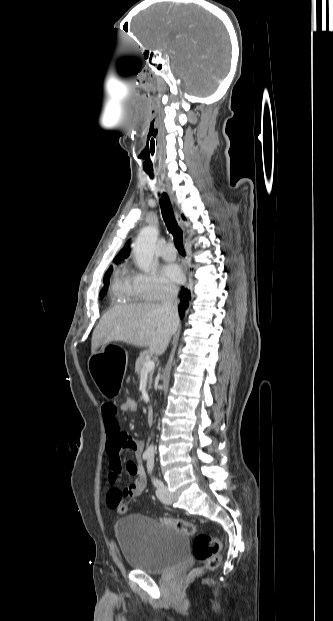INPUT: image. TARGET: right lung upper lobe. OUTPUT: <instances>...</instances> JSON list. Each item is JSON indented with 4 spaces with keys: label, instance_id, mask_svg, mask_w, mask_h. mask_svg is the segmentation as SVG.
<instances>
[{
    "label": "right lung upper lobe",
    "instance_id": "1",
    "mask_svg": "<svg viewBox=\"0 0 333 621\" xmlns=\"http://www.w3.org/2000/svg\"><path fill=\"white\" fill-rule=\"evenodd\" d=\"M183 219H185L184 216H182ZM129 242L130 240L125 244V246L123 247V249L119 252V254L115 257L114 261L118 264L121 262V260L127 258L129 256V252H130V247H129Z\"/></svg>",
    "mask_w": 333,
    "mask_h": 621
}]
</instances>
